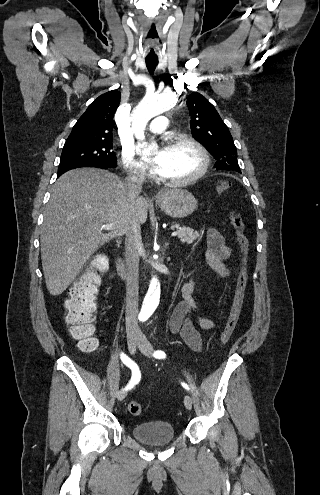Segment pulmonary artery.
Wrapping results in <instances>:
<instances>
[{
    "label": "pulmonary artery",
    "mask_w": 320,
    "mask_h": 495,
    "mask_svg": "<svg viewBox=\"0 0 320 495\" xmlns=\"http://www.w3.org/2000/svg\"><path fill=\"white\" fill-rule=\"evenodd\" d=\"M168 125V118L166 116H158L152 120L148 127V131L154 134H160L164 132Z\"/></svg>",
    "instance_id": "pulmonary-artery-1"
}]
</instances>
